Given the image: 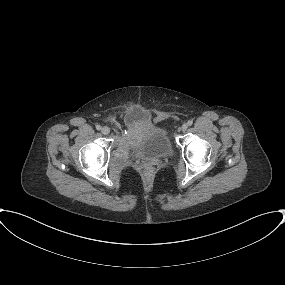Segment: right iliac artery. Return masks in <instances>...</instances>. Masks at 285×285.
Masks as SVG:
<instances>
[{"instance_id":"1","label":"right iliac artery","mask_w":285,"mask_h":285,"mask_svg":"<svg viewBox=\"0 0 285 285\" xmlns=\"http://www.w3.org/2000/svg\"><path fill=\"white\" fill-rule=\"evenodd\" d=\"M96 129L97 130H101V126L100 125H96Z\"/></svg>"}]
</instances>
